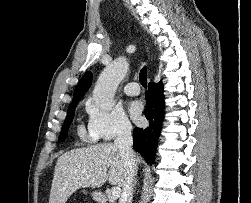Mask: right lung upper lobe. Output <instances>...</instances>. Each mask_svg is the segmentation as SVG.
I'll return each mask as SVG.
<instances>
[{"mask_svg":"<svg viewBox=\"0 0 251 203\" xmlns=\"http://www.w3.org/2000/svg\"><path fill=\"white\" fill-rule=\"evenodd\" d=\"M91 82H92V74L91 72H86L79 81L78 85L76 86L74 91L73 101L70 104L77 102L85 95V93L91 86Z\"/></svg>","mask_w":251,"mask_h":203,"instance_id":"1","label":"right lung upper lobe"}]
</instances>
